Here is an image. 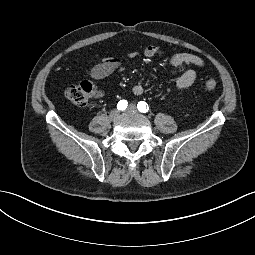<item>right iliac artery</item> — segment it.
I'll use <instances>...</instances> for the list:
<instances>
[{
    "label": "right iliac artery",
    "instance_id": "obj_1",
    "mask_svg": "<svg viewBox=\"0 0 255 255\" xmlns=\"http://www.w3.org/2000/svg\"><path fill=\"white\" fill-rule=\"evenodd\" d=\"M128 102L126 100H120L117 104V109L123 111L127 108Z\"/></svg>",
    "mask_w": 255,
    "mask_h": 255
}]
</instances>
